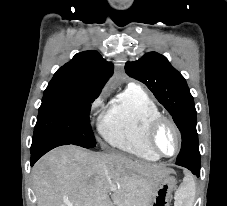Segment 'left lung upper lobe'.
I'll return each instance as SVG.
<instances>
[{"instance_id": "5c2ea615", "label": "left lung upper lobe", "mask_w": 227, "mask_h": 206, "mask_svg": "<svg viewBox=\"0 0 227 206\" xmlns=\"http://www.w3.org/2000/svg\"><path fill=\"white\" fill-rule=\"evenodd\" d=\"M125 70L129 76L144 83L172 115L182 136L176 162L200 163L196 109L184 77L165 56L157 52H149L137 61L126 62Z\"/></svg>"}]
</instances>
